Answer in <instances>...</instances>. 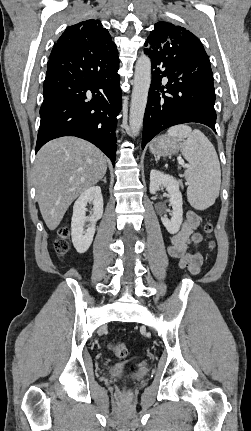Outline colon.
<instances>
[{
  "label": "colon",
  "instance_id": "1",
  "mask_svg": "<svg viewBox=\"0 0 251 431\" xmlns=\"http://www.w3.org/2000/svg\"><path fill=\"white\" fill-rule=\"evenodd\" d=\"M204 231L206 232V234H210L212 232V225L207 224L204 227ZM68 235H69V230L66 226H62L59 228L58 239L54 243L55 251L57 252V254L64 255L65 253H67L69 249V243L67 240ZM209 246L211 248L214 247L213 241L209 242ZM108 348L118 358H124L128 353L126 345L122 342L110 343L108 345ZM134 369L135 367L131 366V370H134Z\"/></svg>",
  "mask_w": 251,
  "mask_h": 431
}]
</instances>
